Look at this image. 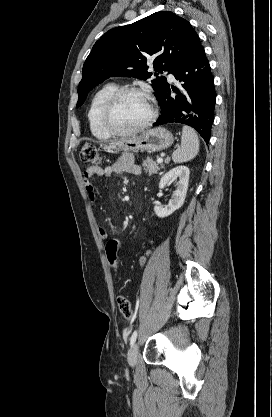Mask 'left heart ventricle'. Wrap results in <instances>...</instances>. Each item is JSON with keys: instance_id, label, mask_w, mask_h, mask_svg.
Masks as SVG:
<instances>
[{"instance_id": "b2bd125f", "label": "left heart ventricle", "mask_w": 272, "mask_h": 417, "mask_svg": "<svg viewBox=\"0 0 272 417\" xmlns=\"http://www.w3.org/2000/svg\"><path fill=\"white\" fill-rule=\"evenodd\" d=\"M150 112V105L144 97L130 94L118 102L112 115V124L117 129L129 130L144 123Z\"/></svg>"}]
</instances>
